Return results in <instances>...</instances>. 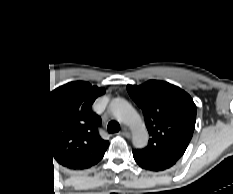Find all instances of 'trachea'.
I'll list each match as a JSON object with an SVG mask.
<instances>
[{
    "label": "trachea",
    "instance_id": "3493384b",
    "mask_svg": "<svg viewBox=\"0 0 233 194\" xmlns=\"http://www.w3.org/2000/svg\"><path fill=\"white\" fill-rule=\"evenodd\" d=\"M107 128H108V131L110 133H115V132H118L120 130L119 124L115 121L109 122Z\"/></svg>",
    "mask_w": 233,
    "mask_h": 194
}]
</instances>
